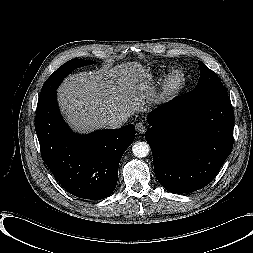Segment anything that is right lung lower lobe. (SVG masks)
<instances>
[{"label": "right lung lower lobe", "mask_w": 253, "mask_h": 253, "mask_svg": "<svg viewBox=\"0 0 253 253\" xmlns=\"http://www.w3.org/2000/svg\"><path fill=\"white\" fill-rule=\"evenodd\" d=\"M35 130L42 159L55 178L70 194L91 200L112 194L120 159L135 139L133 124L85 136L73 133L60 115L56 91L37 104Z\"/></svg>", "instance_id": "obj_1"}]
</instances>
